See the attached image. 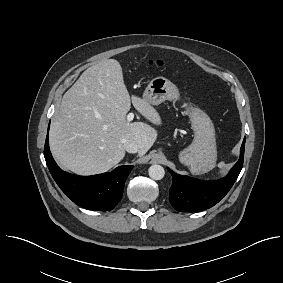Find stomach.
Segmentation results:
<instances>
[{
    "label": "stomach",
    "instance_id": "obj_1",
    "mask_svg": "<svg viewBox=\"0 0 283 283\" xmlns=\"http://www.w3.org/2000/svg\"><path fill=\"white\" fill-rule=\"evenodd\" d=\"M177 86L169 79L159 76L150 81L143 93V99L151 105H159L169 100H178ZM185 113L189 117L194 132L192 143L179 152V161L194 173L205 172L217 159L215 128L210 117L200 108L185 104Z\"/></svg>",
    "mask_w": 283,
    "mask_h": 283
}]
</instances>
